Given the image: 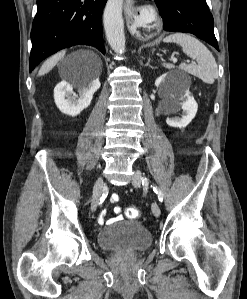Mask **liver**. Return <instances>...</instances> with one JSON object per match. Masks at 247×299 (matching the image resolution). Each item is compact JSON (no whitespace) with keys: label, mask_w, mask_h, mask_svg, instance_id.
Returning a JSON list of instances; mask_svg holds the SVG:
<instances>
[{"label":"liver","mask_w":247,"mask_h":299,"mask_svg":"<svg viewBox=\"0 0 247 299\" xmlns=\"http://www.w3.org/2000/svg\"><path fill=\"white\" fill-rule=\"evenodd\" d=\"M88 54H91L97 61V63L99 65H101V61L99 59V57L93 53V52H90L88 51L87 52ZM65 56V51H61L59 53H56L55 55H53L52 57H50L49 59H47L43 65L41 66L39 72H38V75L39 76H42V75H45L47 74L49 71H51L55 65Z\"/></svg>","instance_id":"1"}]
</instances>
